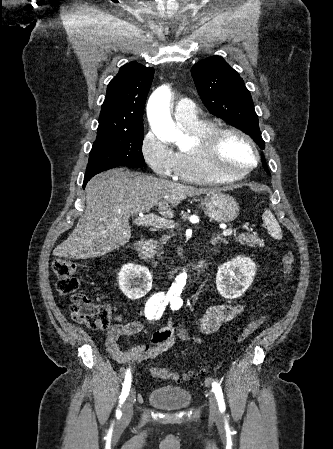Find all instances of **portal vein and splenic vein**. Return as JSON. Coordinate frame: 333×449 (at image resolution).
<instances>
[{
  "label": "portal vein and splenic vein",
  "mask_w": 333,
  "mask_h": 449,
  "mask_svg": "<svg viewBox=\"0 0 333 449\" xmlns=\"http://www.w3.org/2000/svg\"><path fill=\"white\" fill-rule=\"evenodd\" d=\"M134 223L136 225L153 226L155 228H174V224H172L171 221L158 217L154 214H139V217L134 220ZM232 233V229H227L223 231V236H230Z\"/></svg>",
  "instance_id": "obj_1"
}]
</instances>
